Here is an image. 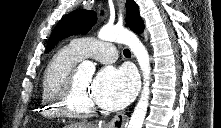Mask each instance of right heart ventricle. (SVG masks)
<instances>
[{"label":"right heart ventricle","mask_w":221,"mask_h":128,"mask_svg":"<svg viewBox=\"0 0 221 128\" xmlns=\"http://www.w3.org/2000/svg\"><path fill=\"white\" fill-rule=\"evenodd\" d=\"M83 57L71 44L58 50L49 60L42 78L41 97L38 112L45 118H58L63 114L57 103L61 93L76 64Z\"/></svg>","instance_id":"right-heart-ventricle-1"}]
</instances>
